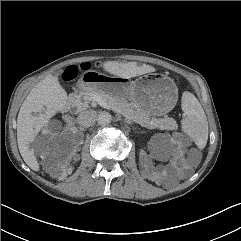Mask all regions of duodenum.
Instances as JSON below:
<instances>
[{"label":"duodenum","mask_w":241,"mask_h":241,"mask_svg":"<svg viewBox=\"0 0 241 241\" xmlns=\"http://www.w3.org/2000/svg\"><path fill=\"white\" fill-rule=\"evenodd\" d=\"M73 103V97H72V99H71V104Z\"/></svg>","instance_id":"410a0bca"}]
</instances>
